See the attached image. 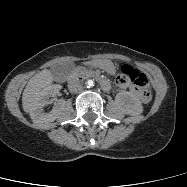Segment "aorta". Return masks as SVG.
Returning a JSON list of instances; mask_svg holds the SVG:
<instances>
[{"instance_id":"obj_1","label":"aorta","mask_w":187,"mask_h":187,"mask_svg":"<svg viewBox=\"0 0 187 187\" xmlns=\"http://www.w3.org/2000/svg\"><path fill=\"white\" fill-rule=\"evenodd\" d=\"M92 86H94L93 81H88V82H87V87L90 88V87H92Z\"/></svg>"}]
</instances>
